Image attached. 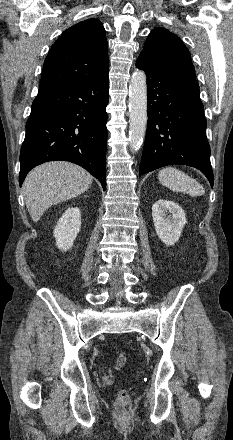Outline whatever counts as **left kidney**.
Masks as SVG:
<instances>
[{"mask_svg": "<svg viewBox=\"0 0 233 440\" xmlns=\"http://www.w3.org/2000/svg\"><path fill=\"white\" fill-rule=\"evenodd\" d=\"M152 217L159 239L167 246L174 245L187 223L182 207L174 201L159 199L152 206Z\"/></svg>", "mask_w": 233, "mask_h": 440, "instance_id": "obj_1", "label": "left kidney"}]
</instances>
